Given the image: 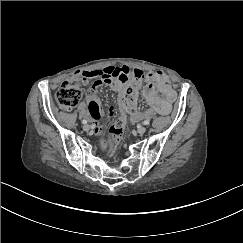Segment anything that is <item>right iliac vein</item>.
<instances>
[{
  "label": "right iliac vein",
  "instance_id": "63e3f726",
  "mask_svg": "<svg viewBox=\"0 0 243 243\" xmlns=\"http://www.w3.org/2000/svg\"><path fill=\"white\" fill-rule=\"evenodd\" d=\"M83 130H84V131H89V130H90V126H89L88 124H85V125L83 126Z\"/></svg>",
  "mask_w": 243,
  "mask_h": 243
}]
</instances>
